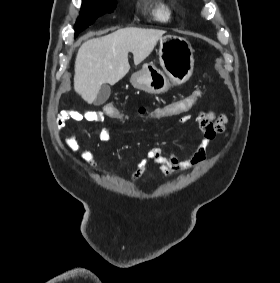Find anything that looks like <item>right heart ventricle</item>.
Masks as SVG:
<instances>
[{
  "mask_svg": "<svg viewBox=\"0 0 280 283\" xmlns=\"http://www.w3.org/2000/svg\"><path fill=\"white\" fill-rule=\"evenodd\" d=\"M152 14L154 18L161 21H168L171 18V5L165 1H158L153 8Z\"/></svg>",
  "mask_w": 280,
  "mask_h": 283,
  "instance_id": "right-heart-ventricle-1",
  "label": "right heart ventricle"
}]
</instances>
